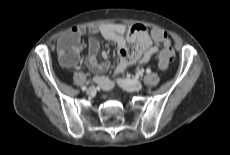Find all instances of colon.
<instances>
[{
    "label": "colon",
    "mask_w": 230,
    "mask_h": 155,
    "mask_svg": "<svg viewBox=\"0 0 230 155\" xmlns=\"http://www.w3.org/2000/svg\"><path fill=\"white\" fill-rule=\"evenodd\" d=\"M153 38L161 44L168 36L163 30H154ZM79 45V38L76 36H70L64 41L59 43L58 57L67 65H71L76 61V48ZM162 45V44H161ZM174 51L172 47L165 46L160 54L159 67L162 70L168 68L170 61L172 60Z\"/></svg>",
    "instance_id": "obj_1"
}]
</instances>
